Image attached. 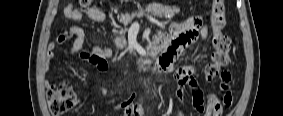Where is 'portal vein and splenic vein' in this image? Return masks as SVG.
I'll use <instances>...</instances> for the list:
<instances>
[{"label": "portal vein and splenic vein", "mask_w": 283, "mask_h": 116, "mask_svg": "<svg viewBox=\"0 0 283 116\" xmlns=\"http://www.w3.org/2000/svg\"><path fill=\"white\" fill-rule=\"evenodd\" d=\"M147 19L150 21V22H156L157 20L152 17V16H147Z\"/></svg>", "instance_id": "portal-vein-and-splenic-vein-1"}]
</instances>
